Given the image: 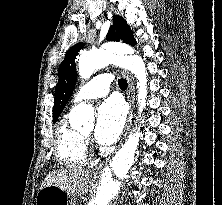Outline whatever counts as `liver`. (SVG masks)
Wrapping results in <instances>:
<instances>
[{"label":"liver","mask_w":222,"mask_h":205,"mask_svg":"<svg viewBox=\"0 0 222 205\" xmlns=\"http://www.w3.org/2000/svg\"><path fill=\"white\" fill-rule=\"evenodd\" d=\"M56 185L70 196H81L92 186V172L80 168L70 167L50 172L42 187Z\"/></svg>","instance_id":"liver-1"}]
</instances>
